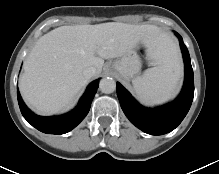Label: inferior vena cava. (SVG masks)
<instances>
[{
  "label": "inferior vena cava",
  "mask_w": 219,
  "mask_h": 174,
  "mask_svg": "<svg viewBox=\"0 0 219 174\" xmlns=\"http://www.w3.org/2000/svg\"><path fill=\"white\" fill-rule=\"evenodd\" d=\"M96 74V68L93 66L87 67L83 70V75L86 79L92 78Z\"/></svg>",
  "instance_id": "1"
}]
</instances>
